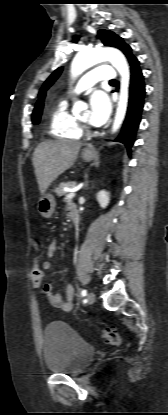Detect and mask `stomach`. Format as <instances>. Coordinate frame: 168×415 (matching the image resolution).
I'll return each instance as SVG.
<instances>
[{"label": "stomach", "mask_w": 168, "mask_h": 415, "mask_svg": "<svg viewBox=\"0 0 168 415\" xmlns=\"http://www.w3.org/2000/svg\"><path fill=\"white\" fill-rule=\"evenodd\" d=\"M84 161H92L96 157V151L93 148H86L81 154ZM55 200L51 194H43L38 202V211L43 217H51L55 210Z\"/></svg>", "instance_id": "0dacf381"}]
</instances>
